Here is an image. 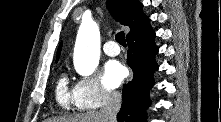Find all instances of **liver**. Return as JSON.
Here are the masks:
<instances>
[{"label":"liver","mask_w":221,"mask_h":122,"mask_svg":"<svg viewBox=\"0 0 221 122\" xmlns=\"http://www.w3.org/2000/svg\"><path fill=\"white\" fill-rule=\"evenodd\" d=\"M45 122H108L101 111H89L74 117L48 118Z\"/></svg>","instance_id":"1"}]
</instances>
